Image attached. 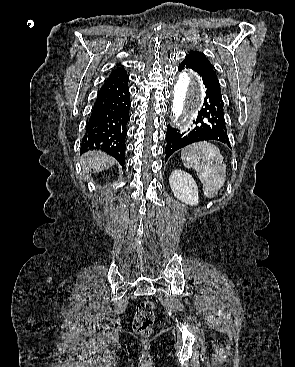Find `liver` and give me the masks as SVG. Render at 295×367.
Returning a JSON list of instances; mask_svg holds the SVG:
<instances>
[{"mask_svg":"<svg viewBox=\"0 0 295 367\" xmlns=\"http://www.w3.org/2000/svg\"><path fill=\"white\" fill-rule=\"evenodd\" d=\"M83 172H101L109 169L115 164V159L101 151H90L85 153L82 158Z\"/></svg>","mask_w":295,"mask_h":367,"instance_id":"1","label":"liver"}]
</instances>
